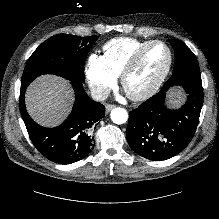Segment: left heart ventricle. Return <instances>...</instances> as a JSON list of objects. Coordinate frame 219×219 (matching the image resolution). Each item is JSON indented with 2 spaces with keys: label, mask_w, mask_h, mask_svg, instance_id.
<instances>
[{
  "label": "left heart ventricle",
  "mask_w": 219,
  "mask_h": 219,
  "mask_svg": "<svg viewBox=\"0 0 219 219\" xmlns=\"http://www.w3.org/2000/svg\"><path fill=\"white\" fill-rule=\"evenodd\" d=\"M167 61L168 54L162 45L151 47L128 76L126 89L132 93L143 91L164 70Z\"/></svg>",
  "instance_id": "obj_1"
}]
</instances>
